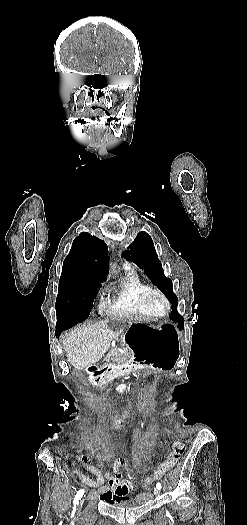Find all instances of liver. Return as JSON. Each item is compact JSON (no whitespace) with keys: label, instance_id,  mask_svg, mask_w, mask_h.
Listing matches in <instances>:
<instances>
[{"label":"liver","instance_id":"obj_1","mask_svg":"<svg viewBox=\"0 0 247 525\" xmlns=\"http://www.w3.org/2000/svg\"><path fill=\"white\" fill-rule=\"evenodd\" d=\"M110 321H98L93 325H81L72 329L62 339L67 361L76 369H87L102 359L112 341Z\"/></svg>","mask_w":247,"mask_h":525}]
</instances>
